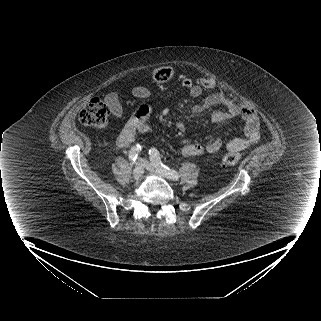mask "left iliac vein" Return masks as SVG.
<instances>
[{
  "instance_id": "1",
  "label": "left iliac vein",
  "mask_w": 321,
  "mask_h": 321,
  "mask_svg": "<svg viewBox=\"0 0 321 321\" xmlns=\"http://www.w3.org/2000/svg\"><path fill=\"white\" fill-rule=\"evenodd\" d=\"M142 166L150 171L152 174H155L157 176H160L162 178H166V175L160 171L157 170V168L149 161L147 160H141Z\"/></svg>"
}]
</instances>
